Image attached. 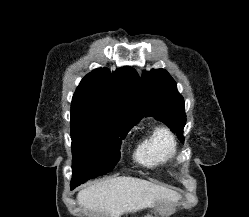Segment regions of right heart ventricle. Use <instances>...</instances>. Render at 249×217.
Returning a JSON list of instances; mask_svg holds the SVG:
<instances>
[{
	"instance_id": "obj_1",
	"label": "right heart ventricle",
	"mask_w": 249,
	"mask_h": 217,
	"mask_svg": "<svg viewBox=\"0 0 249 217\" xmlns=\"http://www.w3.org/2000/svg\"><path fill=\"white\" fill-rule=\"evenodd\" d=\"M177 144L171 132L164 127H155L141 142L135 152V160L147 167L166 166L173 162Z\"/></svg>"
}]
</instances>
